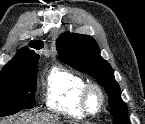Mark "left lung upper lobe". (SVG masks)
<instances>
[{"instance_id":"left-lung-upper-lobe-1","label":"left lung upper lobe","mask_w":145,"mask_h":124,"mask_svg":"<svg viewBox=\"0 0 145 124\" xmlns=\"http://www.w3.org/2000/svg\"><path fill=\"white\" fill-rule=\"evenodd\" d=\"M61 59L81 72L93 76L105 88L114 124H130L127 106L121 99V91L115 81L111 66L99 55L96 41L87 35L64 33L57 42Z\"/></svg>"}]
</instances>
